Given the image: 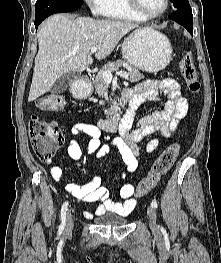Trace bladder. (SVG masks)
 Here are the masks:
<instances>
[{"label": "bladder", "mask_w": 221, "mask_h": 263, "mask_svg": "<svg viewBox=\"0 0 221 263\" xmlns=\"http://www.w3.org/2000/svg\"><path fill=\"white\" fill-rule=\"evenodd\" d=\"M95 223L101 226H121L127 223V219L118 215H112L110 218L107 216H99L95 218Z\"/></svg>", "instance_id": "bladder-1"}]
</instances>
